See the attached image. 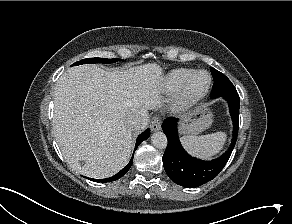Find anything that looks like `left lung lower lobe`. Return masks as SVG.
I'll use <instances>...</instances> for the list:
<instances>
[{"label": "left lung lower lobe", "instance_id": "0a47b994", "mask_svg": "<svg viewBox=\"0 0 292 224\" xmlns=\"http://www.w3.org/2000/svg\"><path fill=\"white\" fill-rule=\"evenodd\" d=\"M220 97L228 102L234 130L229 149L218 159L204 161L191 157L179 141L177 131L178 119L169 118L162 124V129L168 139V146L162 158L163 166L169 178L178 185L194 188L212 180L224 168L234 149L239 128L240 98L237 91L224 94Z\"/></svg>", "mask_w": 292, "mask_h": 224}]
</instances>
